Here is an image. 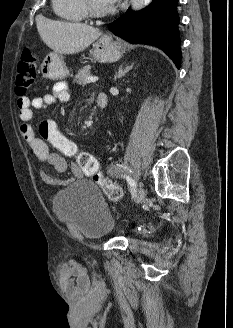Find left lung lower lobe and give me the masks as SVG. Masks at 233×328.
Segmentation results:
<instances>
[{
	"mask_svg": "<svg viewBox=\"0 0 233 328\" xmlns=\"http://www.w3.org/2000/svg\"><path fill=\"white\" fill-rule=\"evenodd\" d=\"M177 3L178 0H153L139 12L129 9L109 24V30L128 42L157 46L180 68Z\"/></svg>",
	"mask_w": 233,
	"mask_h": 328,
	"instance_id": "1",
	"label": "left lung lower lobe"
}]
</instances>
